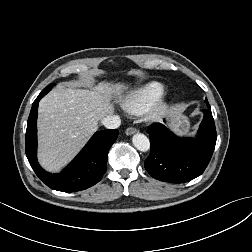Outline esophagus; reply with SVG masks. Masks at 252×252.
<instances>
[{"label": "esophagus", "instance_id": "esophagus-1", "mask_svg": "<svg viewBox=\"0 0 252 252\" xmlns=\"http://www.w3.org/2000/svg\"><path fill=\"white\" fill-rule=\"evenodd\" d=\"M137 132H138V129H136L134 127H129L125 131L126 135H128V136L133 135V134H135Z\"/></svg>", "mask_w": 252, "mask_h": 252}]
</instances>
